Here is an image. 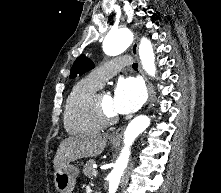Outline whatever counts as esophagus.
Listing matches in <instances>:
<instances>
[{
    "mask_svg": "<svg viewBox=\"0 0 221 193\" xmlns=\"http://www.w3.org/2000/svg\"><path fill=\"white\" fill-rule=\"evenodd\" d=\"M131 51H132V54L137 58V60L139 61L138 59V43L137 41L135 40L132 47H131ZM139 70H140V73L142 74L145 82H146V85H147V89H148V102H150L151 98H152V89H151V86H150V83L148 81V78L147 76L145 75V73L143 72V69L140 65V62H139ZM124 131V128H119L117 129L116 131H114L111 135V139L113 140H117V139H120L121 136H122V133Z\"/></svg>",
    "mask_w": 221,
    "mask_h": 193,
    "instance_id": "1",
    "label": "esophagus"
}]
</instances>
